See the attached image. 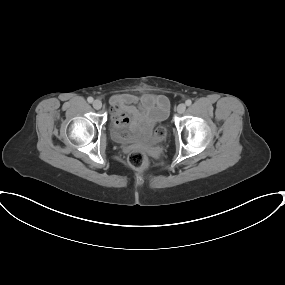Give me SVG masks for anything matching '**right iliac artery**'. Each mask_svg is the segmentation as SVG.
<instances>
[{
    "mask_svg": "<svg viewBox=\"0 0 285 285\" xmlns=\"http://www.w3.org/2000/svg\"><path fill=\"white\" fill-rule=\"evenodd\" d=\"M87 101H88L89 103H92V102H93V98H92V97H88V98H87Z\"/></svg>",
    "mask_w": 285,
    "mask_h": 285,
    "instance_id": "1",
    "label": "right iliac artery"
}]
</instances>
